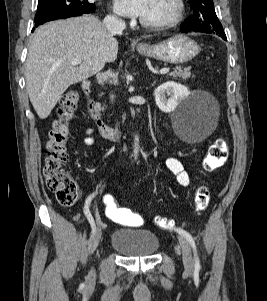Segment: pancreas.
Segmentation results:
<instances>
[{"mask_svg": "<svg viewBox=\"0 0 267 301\" xmlns=\"http://www.w3.org/2000/svg\"><path fill=\"white\" fill-rule=\"evenodd\" d=\"M171 75L174 78H182L184 80L188 79L191 77V72L189 71L188 68H184L182 69L181 67H177L172 73Z\"/></svg>", "mask_w": 267, "mask_h": 301, "instance_id": "cf45deb5", "label": "pancreas"}]
</instances>
